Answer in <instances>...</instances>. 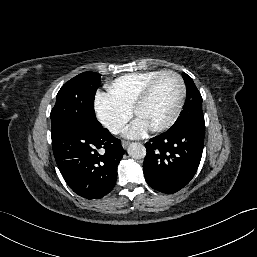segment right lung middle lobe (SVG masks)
Listing matches in <instances>:
<instances>
[{"instance_id": "1", "label": "right lung middle lobe", "mask_w": 257, "mask_h": 257, "mask_svg": "<svg viewBox=\"0 0 257 257\" xmlns=\"http://www.w3.org/2000/svg\"><path fill=\"white\" fill-rule=\"evenodd\" d=\"M100 77L101 74L96 72H84L61 87L50 114L52 139L69 129H102L94 111V98L100 86Z\"/></svg>"}]
</instances>
